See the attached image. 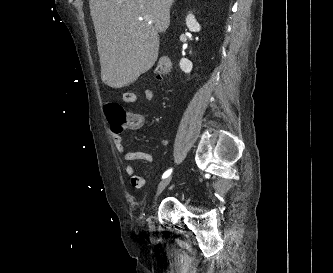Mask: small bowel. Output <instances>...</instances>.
Returning a JSON list of instances; mask_svg holds the SVG:
<instances>
[{
	"label": "small bowel",
	"mask_w": 333,
	"mask_h": 273,
	"mask_svg": "<svg viewBox=\"0 0 333 273\" xmlns=\"http://www.w3.org/2000/svg\"><path fill=\"white\" fill-rule=\"evenodd\" d=\"M153 97L152 93L150 91H147L145 93V98L147 100H151ZM139 96L137 93L134 92H126L122 100L125 103H137L139 101ZM144 113L143 111H135L133 117H134V122L130 123L129 125L126 126L128 129L136 130L140 129L144 126L145 120H144ZM111 133H112V139L113 142L117 148V150L121 153H124V159L129 162H134V161H145V162H154V157L152 154L146 151H124V145H123V138H122V133L119 130H116L114 128H111ZM125 172L128 176L131 177V183L132 185L140 189L144 186V183L142 179L135 174V167L132 164H127L125 166Z\"/></svg>",
	"instance_id": "obj_1"
}]
</instances>
